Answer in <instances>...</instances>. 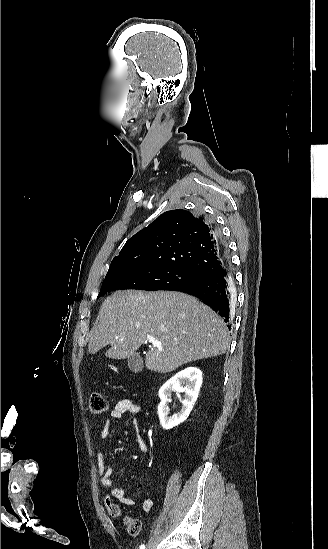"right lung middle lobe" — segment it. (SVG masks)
Masks as SVG:
<instances>
[{
  "label": "right lung middle lobe",
  "instance_id": "obj_1",
  "mask_svg": "<svg viewBox=\"0 0 328 549\" xmlns=\"http://www.w3.org/2000/svg\"><path fill=\"white\" fill-rule=\"evenodd\" d=\"M203 277L197 271L182 267L130 263L107 273L98 297L117 289L174 290Z\"/></svg>",
  "mask_w": 328,
  "mask_h": 549
}]
</instances>
